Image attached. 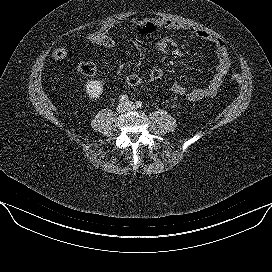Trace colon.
<instances>
[{"instance_id": "1", "label": "colon", "mask_w": 272, "mask_h": 272, "mask_svg": "<svg viewBox=\"0 0 272 272\" xmlns=\"http://www.w3.org/2000/svg\"><path fill=\"white\" fill-rule=\"evenodd\" d=\"M154 29L152 24H146L143 26L144 32H150ZM116 42L112 35L103 30H97L89 32L83 35L79 39V45L83 47H104L113 48ZM70 53V50L65 46H59L55 48L52 52V56L55 60H63ZM77 73L84 78H91L96 73V65L92 62H81L77 65ZM165 75L164 70L161 67H154L149 70L134 73L126 76L123 79V84L128 87H137L141 85L150 84L161 80ZM232 79L235 82L241 81V76L238 73L232 75Z\"/></svg>"}]
</instances>
